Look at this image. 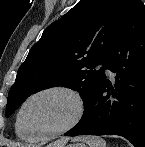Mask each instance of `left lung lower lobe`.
<instances>
[{
    "label": "left lung lower lobe",
    "mask_w": 145,
    "mask_h": 147,
    "mask_svg": "<svg viewBox=\"0 0 145 147\" xmlns=\"http://www.w3.org/2000/svg\"><path fill=\"white\" fill-rule=\"evenodd\" d=\"M104 76L79 123L65 135H119L145 147V5L131 0Z\"/></svg>",
    "instance_id": "left-lung-lower-lobe-1"
}]
</instances>
